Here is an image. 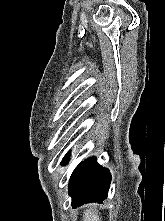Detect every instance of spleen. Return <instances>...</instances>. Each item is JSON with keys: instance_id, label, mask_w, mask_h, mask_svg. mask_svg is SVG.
I'll return each instance as SVG.
<instances>
[{"instance_id": "1", "label": "spleen", "mask_w": 165, "mask_h": 221, "mask_svg": "<svg viewBox=\"0 0 165 221\" xmlns=\"http://www.w3.org/2000/svg\"><path fill=\"white\" fill-rule=\"evenodd\" d=\"M83 221H101L95 206L91 205L83 214Z\"/></svg>"}]
</instances>
